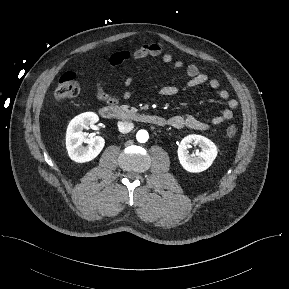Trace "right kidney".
Returning a JSON list of instances; mask_svg holds the SVG:
<instances>
[{"instance_id": "1", "label": "right kidney", "mask_w": 289, "mask_h": 289, "mask_svg": "<svg viewBox=\"0 0 289 289\" xmlns=\"http://www.w3.org/2000/svg\"><path fill=\"white\" fill-rule=\"evenodd\" d=\"M98 120L95 113L86 112L70 121L66 132V148L69 157L75 162H89L102 151L105 145L104 138L101 136L86 138V133L83 132L85 128L93 126Z\"/></svg>"}]
</instances>
